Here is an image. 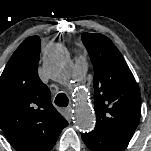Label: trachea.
<instances>
[{"mask_svg": "<svg viewBox=\"0 0 151 151\" xmlns=\"http://www.w3.org/2000/svg\"><path fill=\"white\" fill-rule=\"evenodd\" d=\"M69 100L64 93H59L55 98V104L59 107H67Z\"/></svg>", "mask_w": 151, "mask_h": 151, "instance_id": "obj_1", "label": "trachea"}]
</instances>
